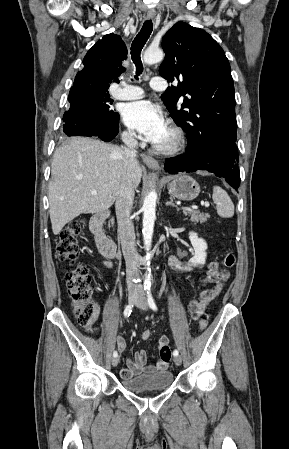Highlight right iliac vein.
<instances>
[{
  "instance_id": "1",
  "label": "right iliac vein",
  "mask_w": 289,
  "mask_h": 449,
  "mask_svg": "<svg viewBox=\"0 0 289 449\" xmlns=\"http://www.w3.org/2000/svg\"><path fill=\"white\" fill-rule=\"evenodd\" d=\"M129 303L130 304H134L137 301V294L136 293H130L129 297H128ZM119 363V358L118 357H114L112 359V365L115 367L117 366Z\"/></svg>"
}]
</instances>
